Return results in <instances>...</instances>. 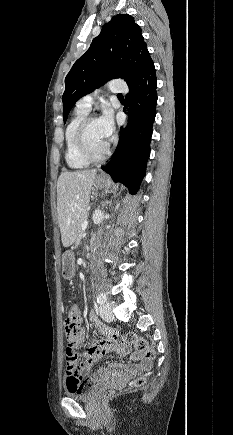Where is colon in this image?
<instances>
[{
  "label": "colon",
  "mask_w": 233,
  "mask_h": 435,
  "mask_svg": "<svg viewBox=\"0 0 233 435\" xmlns=\"http://www.w3.org/2000/svg\"><path fill=\"white\" fill-rule=\"evenodd\" d=\"M81 317L79 313L70 306L68 308V317L65 324V335L66 344L64 347V356L66 361V366H70L74 370L80 369L76 357V337L80 330ZM119 339L118 334L109 329L107 330V338L104 341V347L107 350H112L117 340ZM123 343L132 345L138 353L142 354L145 358L152 360L155 358L154 349L147 343V341L139 337L134 333H127L120 337ZM147 381V375L144 373L138 374L133 378L134 386H141ZM93 384L91 380H81L79 376L74 377L68 386V390L72 392H84L89 390L90 386ZM115 394L113 389H108L104 392L103 398L110 399Z\"/></svg>",
  "instance_id": "obj_1"
}]
</instances>
